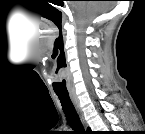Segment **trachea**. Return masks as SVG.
Masks as SVG:
<instances>
[{"label": "trachea", "instance_id": "trachea-1", "mask_svg": "<svg viewBox=\"0 0 145 134\" xmlns=\"http://www.w3.org/2000/svg\"><path fill=\"white\" fill-rule=\"evenodd\" d=\"M57 95L61 102L62 109L65 113V116L67 118L69 125L74 130H76V132H82L84 130L83 125L79 119V116L75 110V107H74L69 95H60V94H57Z\"/></svg>", "mask_w": 145, "mask_h": 134}]
</instances>
